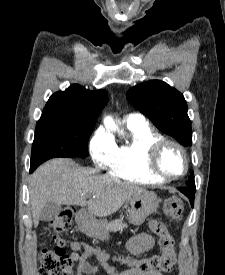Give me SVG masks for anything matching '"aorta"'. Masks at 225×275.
<instances>
[{
	"label": "aorta",
	"mask_w": 225,
	"mask_h": 275,
	"mask_svg": "<svg viewBox=\"0 0 225 275\" xmlns=\"http://www.w3.org/2000/svg\"><path fill=\"white\" fill-rule=\"evenodd\" d=\"M104 125L108 130L117 131L119 134H122V131L119 130L118 126L115 124L111 117H106L104 119Z\"/></svg>",
	"instance_id": "obj_1"
}]
</instances>
